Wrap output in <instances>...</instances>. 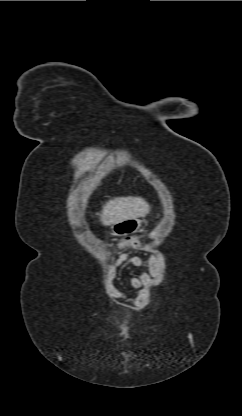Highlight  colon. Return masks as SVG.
Instances as JSON below:
<instances>
[{
	"instance_id": "obj_1",
	"label": "colon",
	"mask_w": 242,
	"mask_h": 416,
	"mask_svg": "<svg viewBox=\"0 0 242 416\" xmlns=\"http://www.w3.org/2000/svg\"><path fill=\"white\" fill-rule=\"evenodd\" d=\"M141 245H142L141 239L137 236L130 237L126 239L123 243L124 247L132 248V249L140 248Z\"/></svg>"
}]
</instances>
